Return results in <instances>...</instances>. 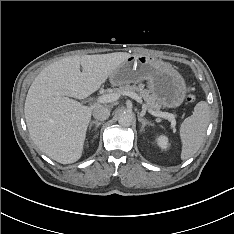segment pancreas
Instances as JSON below:
<instances>
[{
    "label": "pancreas",
    "mask_w": 234,
    "mask_h": 234,
    "mask_svg": "<svg viewBox=\"0 0 234 234\" xmlns=\"http://www.w3.org/2000/svg\"><path fill=\"white\" fill-rule=\"evenodd\" d=\"M125 92H134L138 93L140 98H143L145 101V105L147 106L148 109L150 110H156L159 111L160 105L156 102L155 98L150 94L149 90L144 89L143 84H139L138 86L136 85H125L121 86L119 88L114 89V93H120L123 94Z\"/></svg>",
    "instance_id": "1"
}]
</instances>
